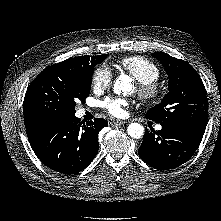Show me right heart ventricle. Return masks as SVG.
<instances>
[{
    "instance_id": "1",
    "label": "right heart ventricle",
    "mask_w": 221,
    "mask_h": 221,
    "mask_svg": "<svg viewBox=\"0 0 221 221\" xmlns=\"http://www.w3.org/2000/svg\"><path fill=\"white\" fill-rule=\"evenodd\" d=\"M119 67L133 76L140 84L156 82L160 77L159 67L143 56H128L119 60Z\"/></svg>"
}]
</instances>
